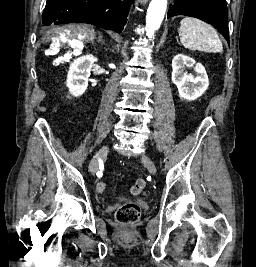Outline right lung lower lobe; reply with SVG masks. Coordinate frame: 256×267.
I'll list each match as a JSON object with an SVG mask.
<instances>
[{
  "label": "right lung lower lobe",
  "mask_w": 256,
  "mask_h": 267,
  "mask_svg": "<svg viewBox=\"0 0 256 267\" xmlns=\"http://www.w3.org/2000/svg\"><path fill=\"white\" fill-rule=\"evenodd\" d=\"M132 0H47L42 23H88L121 32Z\"/></svg>",
  "instance_id": "obj_1"
}]
</instances>
